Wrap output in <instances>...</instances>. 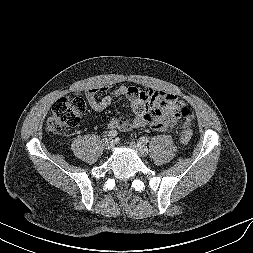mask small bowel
<instances>
[{
    "instance_id": "1",
    "label": "small bowel",
    "mask_w": 253,
    "mask_h": 253,
    "mask_svg": "<svg viewBox=\"0 0 253 253\" xmlns=\"http://www.w3.org/2000/svg\"><path fill=\"white\" fill-rule=\"evenodd\" d=\"M106 91V87H101L90 88L85 92V97L94 111H103L117 98L126 97L134 114L132 119L124 117L112 119L108 123L111 130L130 131L148 126L153 130L165 132L169 131L178 120H182L184 129L189 128L192 123V112L172 93L159 89L120 86L102 98H97L99 92ZM185 109L191 112L190 118L182 115Z\"/></svg>"
}]
</instances>
